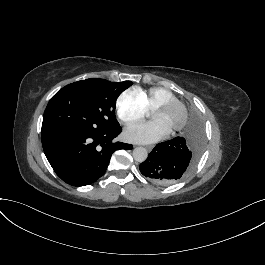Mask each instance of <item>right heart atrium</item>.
Instances as JSON below:
<instances>
[{"label": "right heart atrium", "instance_id": "1", "mask_svg": "<svg viewBox=\"0 0 265 265\" xmlns=\"http://www.w3.org/2000/svg\"><path fill=\"white\" fill-rule=\"evenodd\" d=\"M119 118L126 124L143 119L147 110L139 97L133 91H127L117 101Z\"/></svg>", "mask_w": 265, "mask_h": 265}]
</instances>
